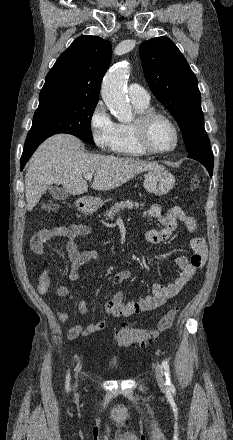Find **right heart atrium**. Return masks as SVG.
Here are the masks:
<instances>
[{
	"label": "right heart atrium",
	"instance_id": "d8ad5b80",
	"mask_svg": "<svg viewBox=\"0 0 233 440\" xmlns=\"http://www.w3.org/2000/svg\"><path fill=\"white\" fill-rule=\"evenodd\" d=\"M118 124L103 101H98L89 117V129L94 144L103 152H114Z\"/></svg>",
	"mask_w": 233,
	"mask_h": 440
}]
</instances>
